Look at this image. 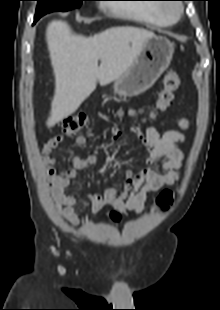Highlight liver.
<instances>
[{
  "label": "liver",
  "mask_w": 220,
  "mask_h": 310,
  "mask_svg": "<svg viewBox=\"0 0 220 310\" xmlns=\"http://www.w3.org/2000/svg\"><path fill=\"white\" fill-rule=\"evenodd\" d=\"M156 35L136 27H113L91 37L73 33L64 21H52L46 41L55 76V93L46 125L74 113L96 89L106 85L133 64L143 44ZM98 60L101 61L98 66Z\"/></svg>",
  "instance_id": "1"
}]
</instances>
